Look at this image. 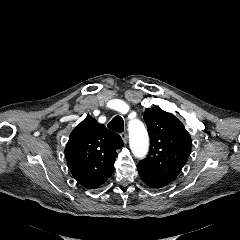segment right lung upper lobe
Returning a JSON list of instances; mask_svg holds the SVG:
<instances>
[{
    "mask_svg": "<svg viewBox=\"0 0 240 240\" xmlns=\"http://www.w3.org/2000/svg\"><path fill=\"white\" fill-rule=\"evenodd\" d=\"M123 145L118 134L86 117L72 131L65 148L73 177L86 188L102 185L113 172L116 150Z\"/></svg>",
    "mask_w": 240,
    "mask_h": 240,
    "instance_id": "right-lung-upper-lobe-1",
    "label": "right lung upper lobe"
}]
</instances>
